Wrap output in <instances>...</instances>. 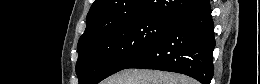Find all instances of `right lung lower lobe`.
<instances>
[{
    "label": "right lung lower lobe",
    "mask_w": 260,
    "mask_h": 84,
    "mask_svg": "<svg viewBox=\"0 0 260 84\" xmlns=\"http://www.w3.org/2000/svg\"><path fill=\"white\" fill-rule=\"evenodd\" d=\"M214 47L211 7L203 0L174 18L151 47L126 68L177 72L210 84Z\"/></svg>",
    "instance_id": "obj_1"
}]
</instances>
